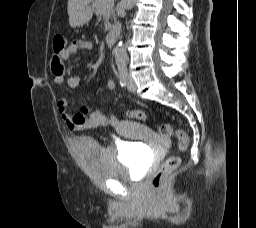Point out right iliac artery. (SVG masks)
I'll return each mask as SVG.
<instances>
[{"mask_svg": "<svg viewBox=\"0 0 256 228\" xmlns=\"http://www.w3.org/2000/svg\"><path fill=\"white\" fill-rule=\"evenodd\" d=\"M119 82L122 87L127 84V67L125 65H119Z\"/></svg>", "mask_w": 256, "mask_h": 228, "instance_id": "obj_1", "label": "right iliac artery"}]
</instances>
